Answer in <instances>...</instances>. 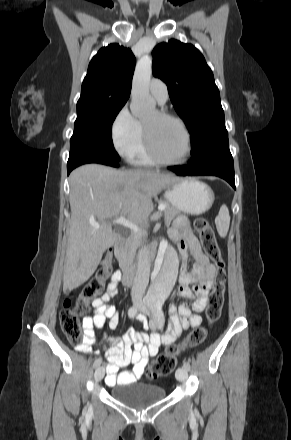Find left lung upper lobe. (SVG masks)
I'll return each mask as SVG.
<instances>
[{
  "label": "left lung upper lobe",
  "instance_id": "obj_1",
  "mask_svg": "<svg viewBox=\"0 0 291 440\" xmlns=\"http://www.w3.org/2000/svg\"><path fill=\"white\" fill-rule=\"evenodd\" d=\"M153 75L167 86L171 102L191 134L192 157L228 138L214 76L200 51L172 39L153 50Z\"/></svg>",
  "mask_w": 291,
  "mask_h": 440
}]
</instances>
